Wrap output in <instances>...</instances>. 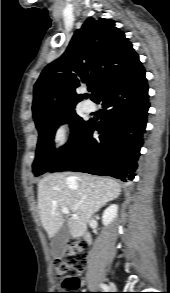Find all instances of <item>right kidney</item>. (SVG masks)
<instances>
[{"label": "right kidney", "instance_id": "1", "mask_svg": "<svg viewBox=\"0 0 170 293\" xmlns=\"http://www.w3.org/2000/svg\"><path fill=\"white\" fill-rule=\"evenodd\" d=\"M118 205L113 204L109 206L103 213L102 222L104 226H108L117 216Z\"/></svg>", "mask_w": 170, "mask_h": 293}]
</instances>
